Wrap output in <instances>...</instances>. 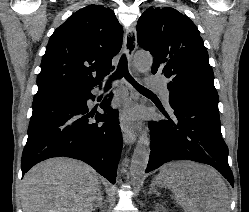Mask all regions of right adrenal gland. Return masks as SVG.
Here are the masks:
<instances>
[{"instance_id":"right-adrenal-gland-1","label":"right adrenal gland","mask_w":249,"mask_h":212,"mask_svg":"<svg viewBox=\"0 0 249 212\" xmlns=\"http://www.w3.org/2000/svg\"><path fill=\"white\" fill-rule=\"evenodd\" d=\"M103 202H104V196L99 188L97 198H95V206L94 208H92V212H96L98 208H101V206H103Z\"/></svg>"}]
</instances>
